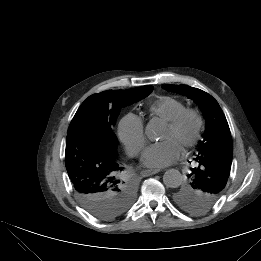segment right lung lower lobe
I'll return each mask as SVG.
<instances>
[{"instance_id": "1", "label": "right lung lower lobe", "mask_w": 261, "mask_h": 261, "mask_svg": "<svg viewBox=\"0 0 261 261\" xmlns=\"http://www.w3.org/2000/svg\"><path fill=\"white\" fill-rule=\"evenodd\" d=\"M65 164L74 191L81 195L99 184H107L123 167L116 161V149L87 132L67 135Z\"/></svg>"}]
</instances>
